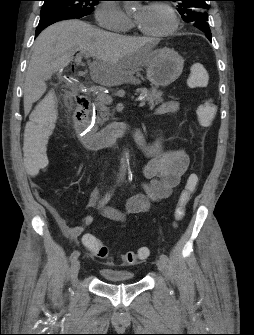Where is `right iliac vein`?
Segmentation results:
<instances>
[{
	"label": "right iliac vein",
	"mask_w": 254,
	"mask_h": 335,
	"mask_svg": "<svg viewBox=\"0 0 254 335\" xmlns=\"http://www.w3.org/2000/svg\"><path fill=\"white\" fill-rule=\"evenodd\" d=\"M79 269H80V261L76 259L75 261H73V265H72V280H73V282H75V280H76Z\"/></svg>",
	"instance_id": "right-iliac-vein-1"
}]
</instances>
